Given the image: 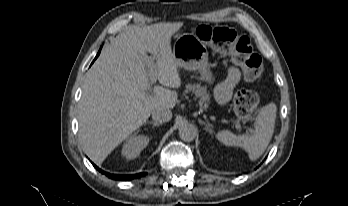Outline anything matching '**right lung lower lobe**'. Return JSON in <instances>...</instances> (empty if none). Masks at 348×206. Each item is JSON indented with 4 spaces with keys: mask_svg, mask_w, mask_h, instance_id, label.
I'll list each match as a JSON object with an SVG mask.
<instances>
[{
    "mask_svg": "<svg viewBox=\"0 0 348 206\" xmlns=\"http://www.w3.org/2000/svg\"><path fill=\"white\" fill-rule=\"evenodd\" d=\"M100 51L98 52L96 58L98 57ZM95 58V59H96ZM94 62V61H93ZM93 164V163H92ZM93 166L102 174H105L106 176H108L111 179H116V180H130V179H134V178H138L141 176H144L146 173H139V174H134V175H116V174H110L107 172H104L103 170L99 169L96 165L93 164Z\"/></svg>",
    "mask_w": 348,
    "mask_h": 206,
    "instance_id": "1",
    "label": "right lung lower lobe"
}]
</instances>
